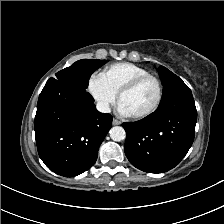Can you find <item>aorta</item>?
<instances>
[{
	"label": "aorta",
	"instance_id": "aorta-1",
	"mask_svg": "<svg viewBox=\"0 0 224 224\" xmlns=\"http://www.w3.org/2000/svg\"><path fill=\"white\" fill-rule=\"evenodd\" d=\"M109 133H110L111 139L116 142L122 141L126 137V132L124 128L121 126L112 127Z\"/></svg>",
	"mask_w": 224,
	"mask_h": 224
}]
</instances>
